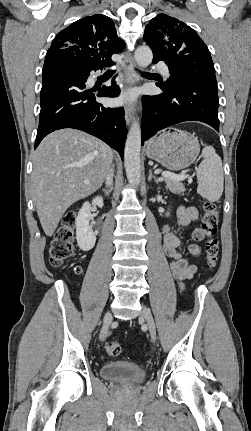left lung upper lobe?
Wrapping results in <instances>:
<instances>
[{
    "label": "left lung upper lobe",
    "mask_w": 251,
    "mask_h": 431,
    "mask_svg": "<svg viewBox=\"0 0 251 431\" xmlns=\"http://www.w3.org/2000/svg\"><path fill=\"white\" fill-rule=\"evenodd\" d=\"M143 39L153 51V61H164L170 78L163 83L170 87L174 76L206 74L215 77L214 64L206 44L185 23L159 14L146 25Z\"/></svg>",
    "instance_id": "obj_1"
}]
</instances>
